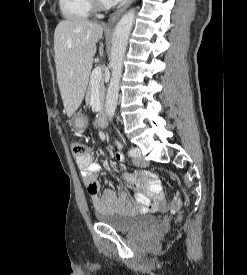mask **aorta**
<instances>
[{
  "label": "aorta",
  "mask_w": 247,
  "mask_h": 275,
  "mask_svg": "<svg viewBox=\"0 0 247 275\" xmlns=\"http://www.w3.org/2000/svg\"><path fill=\"white\" fill-rule=\"evenodd\" d=\"M135 10L131 9L125 13L117 23L111 47L110 66L112 68L111 79L107 89L105 111L109 119L115 114L119 84L122 75L123 59L126 52L128 38L134 23Z\"/></svg>",
  "instance_id": "obj_1"
}]
</instances>
